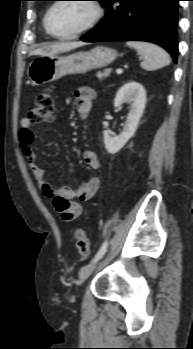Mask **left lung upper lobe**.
<instances>
[{"label":"left lung upper lobe","instance_id":"left-lung-upper-lobe-1","mask_svg":"<svg viewBox=\"0 0 193 349\" xmlns=\"http://www.w3.org/2000/svg\"><path fill=\"white\" fill-rule=\"evenodd\" d=\"M41 1H45V0H41ZM97 1H100L104 6H106V3L108 0H97Z\"/></svg>","mask_w":193,"mask_h":349}]
</instances>
